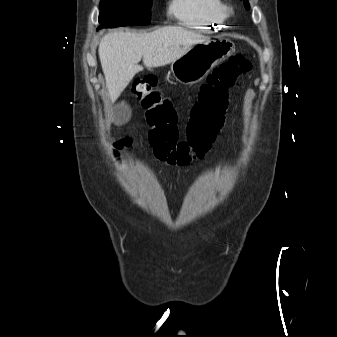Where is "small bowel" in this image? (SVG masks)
Segmentation results:
<instances>
[{"label": "small bowel", "instance_id": "c3829d8e", "mask_svg": "<svg viewBox=\"0 0 337 337\" xmlns=\"http://www.w3.org/2000/svg\"><path fill=\"white\" fill-rule=\"evenodd\" d=\"M120 145H127L128 144V139H123L119 142Z\"/></svg>", "mask_w": 337, "mask_h": 337}]
</instances>
